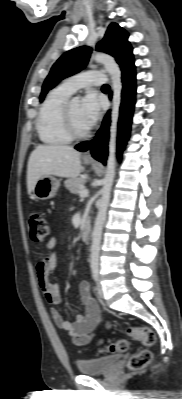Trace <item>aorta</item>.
<instances>
[{
  "label": "aorta",
  "mask_w": 182,
  "mask_h": 399,
  "mask_svg": "<svg viewBox=\"0 0 182 399\" xmlns=\"http://www.w3.org/2000/svg\"><path fill=\"white\" fill-rule=\"evenodd\" d=\"M92 60L103 64L106 71L109 73L112 81V108H111V125H110V137L108 144V159L106 165V175L104 178L103 187L101 189V199L98 208V213L95 219L94 228L92 231V243H91V266L97 267L99 262L100 242L102 236L103 225L106 218V212L109 204L111 188L115 176L116 166V137H117V125L119 119V110L121 104V92H122V80L121 71L117 65L115 59L105 53H96L92 56ZM79 97H74L72 103H79Z\"/></svg>",
  "instance_id": "obj_1"
}]
</instances>
